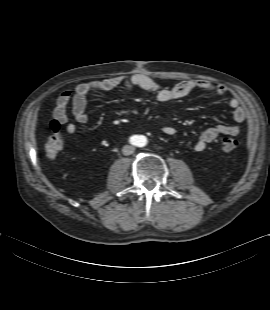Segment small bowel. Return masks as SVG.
Returning <instances> with one entry per match:
<instances>
[{"label": "small bowel", "instance_id": "1", "mask_svg": "<svg viewBox=\"0 0 270 310\" xmlns=\"http://www.w3.org/2000/svg\"><path fill=\"white\" fill-rule=\"evenodd\" d=\"M123 86L126 89L139 87L156 96L160 102H170L182 99L195 90L214 92L219 96L228 93V89L223 84H213L205 80H186L177 83L173 87L164 88L152 77L135 73L129 76H117L102 80H90L79 83L74 89H69L60 94L57 98L54 109V119L60 125H64L68 134L76 132L78 124H86L88 115L86 113L87 96L92 91L109 92L115 88ZM71 104L68 111V105ZM229 106L233 113V124H221L207 128L204 130L197 142L195 150L202 151L206 145L219 136L229 135L236 136L240 133V123L246 119V110L242 106L239 98L233 96L229 99ZM72 118L73 121H70ZM162 131L169 136L176 134V129L171 125H164Z\"/></svg>", "mask_w": 270, "mask_h": 310}]
</instances>
